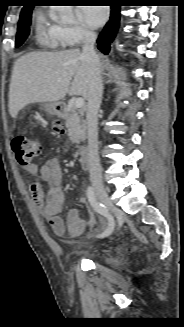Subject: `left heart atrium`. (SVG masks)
I'll return each instance as SVG.
<instances>
[{
  "mask_svg": "<svg viewBox=\"0 0 184 327\" xmlns=\"http://www.w3.org/2000/svg\"><path fill=\"white\" fill-rule=\"evenodd\" d=\"M82 19L91 27L101 26L108 17V9L98 5H89L81 8Z\"/></svg>",
  "mask_w": 184,
  "mask_h": 327,
  "instance_id": "obj_1",
  "label": "left heart atrium"
}]
</instances>
